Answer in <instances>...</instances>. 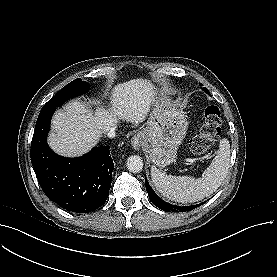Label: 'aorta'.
Segmentation results:
<instances>
[{
    "label": "aorta",
    "mask_w": 277,
    "mask_h": 277,
    "mask_svg": "<svg viewBox=\"0 0 277 277\" xmlns=\"http://www.w3.org/2000/svg\"><path fill=\"white\" fill-rule=\"evenodd\" d=\"M143 160L138 155H132L127 159V169L132 173H139L143 169Z\"/></svg>",
    "instance_id": "aorta-1"
}]
</instances>
